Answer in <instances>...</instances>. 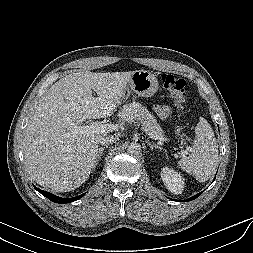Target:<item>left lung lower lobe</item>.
Here are the masks:
<instances>
[{"label":"left lung lower lobe","instance_id":"left-lung-lower-lobe-1","mask_svg":"<svg viewBox=\"0 0 253 253\" xmlns=\"http://www.w3.org/2000/svg\"><path fill=\"white\" fill-rule=\"evenodd\" d=\"M201 194H202V192H201V193H198L197 195H195V196H193V197H191V198H189L187 201L194 200V199H196L198 196H200Z\"/></svg>","mask_w":253,"mask_h":253}]
</instances>
